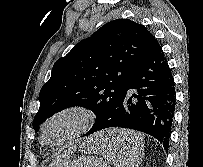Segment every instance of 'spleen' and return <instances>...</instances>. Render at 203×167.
<instances>
[{"label": "spleen", "mask_w": 203, "mask_h": 167, "mask_svg": "<svg viewBox=\"0 0 203 167\" xmlns=\"http://www.w3.org/2000/svg\"><path fill=\"white\" fill-rule=\"evenodd\" d=\"M142 140L143 137H139L132 148L126 147L124 143H122L121 148L115 149L100 147L98 143L93 144H96L94 146L95 152L107 158L115 167H138L144 151Z\"/></svg>", "instance_id": "1"}]
</instances>
